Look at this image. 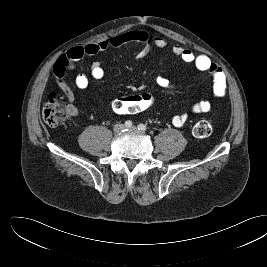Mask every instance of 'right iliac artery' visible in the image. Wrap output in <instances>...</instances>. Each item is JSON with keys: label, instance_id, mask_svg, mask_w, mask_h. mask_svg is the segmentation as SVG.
<instances>
[{"label": "right iliac artery", "instance_id": "82829eb1", "mask_svg": "<svg viewBox=\"0 0 267 267\" xmlns=\"http://www.w3.org/2000/svg\"><path fill=\"white\" fill-rule=\"evenodd\" d=\"M125 126H126L127 128L132 127V122H131L130 120L126 121V122H125Z\"/></svg>", "mask_w": 267, "mask_h": 267}]
</instances>
